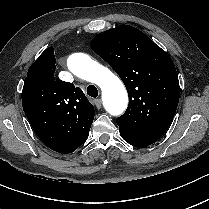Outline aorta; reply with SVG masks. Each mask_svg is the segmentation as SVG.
<instances>
[{"label":"aorta","instance_id":"762f6f07","mask_svg":"<svg viewBox=\"0 0 209 209\" xmlns=\"http://www.w3.org/2000/svg\"><path fill=\"white\" fill-rule=\"evenodd\" d=\"M67 65L73 74L101 88L108 113L118 116L125 111L128 103L126 89L121 80L108 68L84 53L70 55Z\"/></svg>","mask_w":209,"mask_h":209}]
</instances>
